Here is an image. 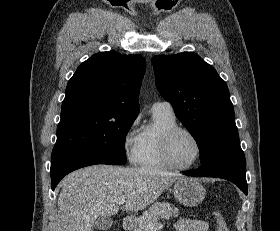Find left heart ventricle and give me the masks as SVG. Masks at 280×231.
Masks as SVG:
<instances>
[{
	"mask_svg": "<svg viewBox=\"0 0 280 231\" xmlns=\"http://www.w3.org/2000/svg\"><path fill=\"white\" fill-rule=\"evenodd\" d=\"M171 156L177 165L193 164L198 156L196 141L186 133L177 134L171 144Z\"/></svg>",
	"mask_w": 280,
	"mask_h": 231,
	"instance_id": "obj_1",
	"label": "left heart ventricle"
}]
</instances>
